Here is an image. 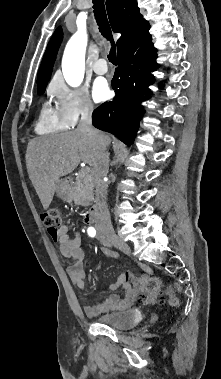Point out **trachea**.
Segmentation results:
<instances>
[{
  "instance_id": "1",
  "label": "trachea",
  "mask_w": 221,
  "mask_h": 379,
  "mask_svg": "<svg viewBox=\"0 0 221 379\" xmlns=\"http://www.w3.org/2000/svg\"><path fill=\"white\" fill-rule=\"evenodd\" d=\"M94 14L96 22L99 26L101 34L111 42V49L108 55V59L111 63L116 64V45L113 40L112 31L107 19L104 0H93Z\"/></svg>"
}]
</instances>
